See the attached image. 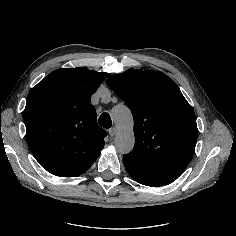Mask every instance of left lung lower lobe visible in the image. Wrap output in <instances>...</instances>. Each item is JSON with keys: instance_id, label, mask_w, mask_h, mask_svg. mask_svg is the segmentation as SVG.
<instances>
[{"instance_id": "obj_1", "label": "left lung lower lobe", "mask_w": 236, "mask_h": 236, "mask_svg": "<svg viewBox=\"0 0 236 236\" xmlns=\"http://www.w3.org/2000/svg\"><path fill=\"white\" fill-rule=\"evenodd\" d=\"M124 166H125L126 170L128 171V173L130 174V176L140 184L147 185V186H153V187L166 184L163 181L143 172L139 168H137L129 163L124 162Z\"/></svg>"}]
</instances>
